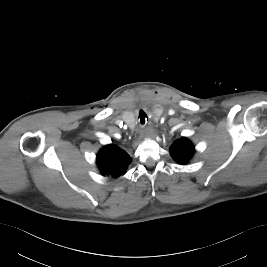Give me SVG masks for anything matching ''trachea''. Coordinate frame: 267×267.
<instances>
[{
	"mask_svg": "<svg viewBox=\"0 0 267 267\" xmlns=\"http://www.w3.org/2000/svg\"><path fill=\"white\" fill-rule=\"evenodd\" d=\"M138 120L140 125H144L146 123V121H148V117L147 114L145 112H140L139 116H138Z\"/></svg>",
	"mask_w": 267,
	"mask_h": 267,
	"instance_id": "3493384b",
	"label": "trachea"
}]
</instances>
